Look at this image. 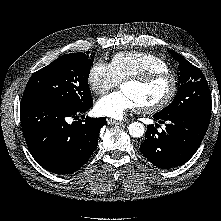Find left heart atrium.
I'll list each match as a JSON object with an SVG mask.
<instances>
[{
    "label": "left heart atrium",
    "mask_w": 221,
    "mask_h": 221,
    "mask_svg": "<svg viewBox=\"0 0 221 221\" xmlns=\"http://www.w3.org/2000/svg\"><path fill=\"white\" fill-rule=\"evenodd\" d=\"M138 104L127 92L121 90L110 93L98 100L96 111L99 115L122 119L128 112L138 109Z\"/></svg>",
    "instance_id": "39dd6f15"
}]
</instances>
